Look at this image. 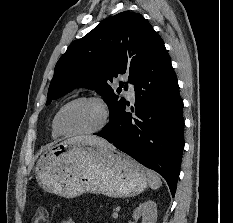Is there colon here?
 Wrapping results in <instances>:
<instances>
[{"label":"colon","instance_id":"1","mask_svg":"<svg viewBox=\"0 0 233 223\" xmlns=\"http://www.w3.org/2000/svg\"><path fill=\"white\" fill-rule=\"evenodd\" d=\"M45 221H46V212L44 209H39L35 223H45Z\"/></svg>","mask_w":233,"mask_h":223}]
</instances>
